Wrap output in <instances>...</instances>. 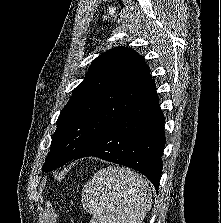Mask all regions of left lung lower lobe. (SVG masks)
<instances>
[{
    "instance_id": "left-lung-lower-lobe-1",
    "label": "left lung lower lobe",
    "mask_w": 221,
    "mask_h": 223,
    "mask_svg": "<svg viewBox=\"0 0 221 223\" xmlns=\"http://www.w3.org/2000/svg\"><path fill=\"white\" fill-rule=\"evenodd\" d=\"M164 115L155 83L128 111L74 159L94 156L135 169L159 187L165 145Z\"/></svg>"
}]
</instances>
